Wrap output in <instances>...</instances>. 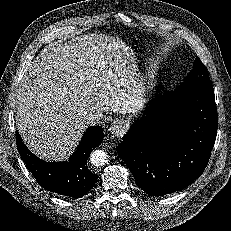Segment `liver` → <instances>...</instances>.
<instances>
[{
	"label": "liver",
	"mask_w": 231,
	"mask_h": 231,
	"mask_svg": "<svg viewBox=\"0 0 231 231\" xmlns=\"http://www.w3.org/2000/svg\"><path fill=\"white\" fill-rule=\"evenodd\" d=\"M129 48L118 38L84 34L43 50L27 68L15 98L18 131L45 160H66L88 125L80 115L133 112L143 97Z\"/></svg>",
	"instance_id": "liver-1"
}]
</instances>
